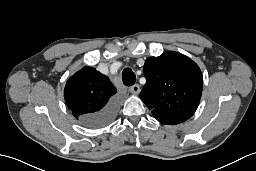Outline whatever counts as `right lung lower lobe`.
<instances>
[{
  "mask_svg": "<svg viewBox=\"0 0 256 171\" xmlns=\"http://www.w3.org/2000/svg\"><path fill=\"white\" fill-rule=\"evenodd\" d=\"M117 103L115 100L110 102L107 107L101 111L85 118L84 122L90 127H100L110 123L116 114Z\"/></svg>",
  "mask_w": 256,
  "mask_h": 171,
  "instance_id": "obj_1",
  "label": "right lung lower lobe"
}]
</instances>
